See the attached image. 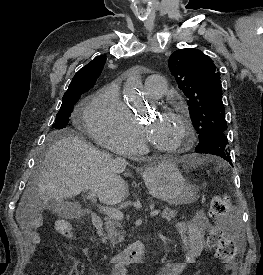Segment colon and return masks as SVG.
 <instances>
[{"label": "colon", "instance_id": "1", "mask_svg": "<svg viewBox=\"0 0 263 275\" xmlns=\"http://www.w3.org/2000/svg\"><path fill=\"white\" fill-rule=\"evenodd\" d=\"M229 210L230 203L227 196L219 195L212 199L210 215L215 220L220 221L226 219L229 215ZM56 230L67 239H71L74 236L72 226L65 221H58L56 223ZM208 242L211 247L216 249L218 259L230 268L237 253L236 243L231 238L227 237L220 229H214L210 233Z\"/></svg>", "mask_w": 263, "mask_h": 275}]
</instances>
